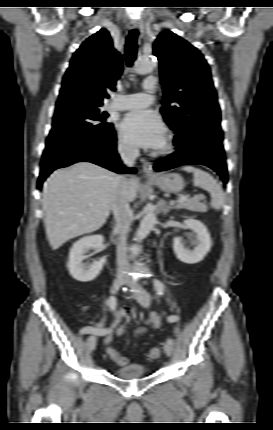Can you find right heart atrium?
Returning <instances> with one entry per match:
<instances>
[{
    "mask_svg": "<svg viewBox=\"0 0 273 430\" xmlns=\"http://www.w3.org/2000/svg\"><path fill=\"white\" fill-rule=\"evenodd\" d=\"M119 150L122 154L127 156H131L136 152L135 148L132 145L125 142L123 139L119 141Z\"/></svg>",
    "mask_w": 273,
    "mask_h": 430,
    "instance_id": "obj_1",
    "label": "right heart atrium"
}]
</instances>
